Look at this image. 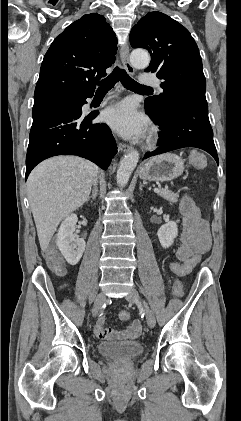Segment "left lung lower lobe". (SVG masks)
Returning a JSON list of instances; mask_svg holds the SVG:
<instances>
[{"label": "left lung lower lobe", "instance_id": "left-lung-lower-lobe-1", "mask_svg": "<svg viewBox=\"0 0 241 421\" xmlns=\"http://www.w3.org/2000/svg\"><path fill=\"white\" fill-rule=\"evenodd\" d=\"M149 117L160 126V146L145 154L144 159L184 147H196L211 154L219 163L208 118L206 97L191 94L173 105L166 115L146 108Z\"/></svg>", "mask_w": 241, "mask_h": 421}]
</instances>
